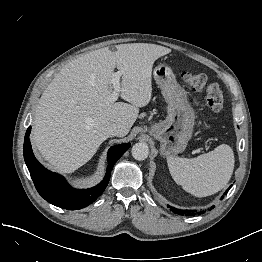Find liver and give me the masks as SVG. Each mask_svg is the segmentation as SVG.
<instances>
[{
	"mask_svg": "<svg viewBox=\"0 0 262 262\" xmlns=\"http://www.w3.org/2000/svg\"><path fill=\"white\" fill-rule=\"evenodd\" d=\"M101 48L66 64L44 90L36 109L32 143L52 168L72 173L87 163L108 138L104 128L128 134L139 108L152 96L154 62L171 52L156 44L131 43ZM123 71L120 96L109 103L114 69Z\"/></svg>",
	"mask_w": 262,
	"mask_h": 262,
	"instance_id": "obj_1",
	"label": "liver"
}]
</instances>
